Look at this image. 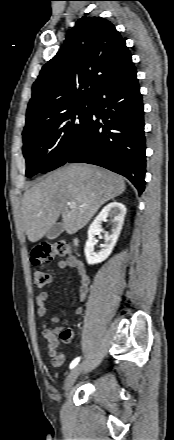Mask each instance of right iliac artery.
<instances>
[{
	"label": "right iliac artery",
	"instance_id": "1",
	"mask_svg": "<svg viewBox=\"0 0 174 440\" xmlns=\"http://www.w3.org/2000/svg\"><path fill=\"white\" fill-rule=\"evenodd\" d=\"M79 361H80V357L75 358L70 364V369L74 368Z\"/></svg>",
	"mask_w": 174,
	"mask_h": 440
}]
</instances>
